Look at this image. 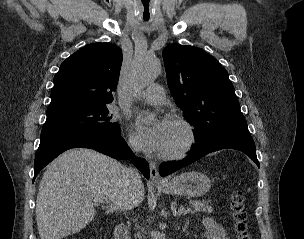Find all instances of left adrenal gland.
Segmentation results:
<instances>
[{
	"instance_id": "1",
	"label": "left adrenal gland",
	"mask_w": 304,
	"mask_h": 239,
	"mask_svg": "<svg viewBox=\"0 0 304 239\" xmlns=\"http://www.w3.org/2000/svg\"><path fill=\"white\" fill-rule=\"evenodd\" d=\"M188 224H189V220L186 219V222H185V226L183 228V231H185L187 228H188ZM177 228H179V226L177 225Z\"/></svg>"
}]
</instances>
